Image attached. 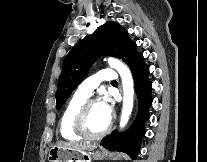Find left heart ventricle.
I'll return each instance as SVG.
<instances>
[{"mask_svg":"<svg viewBox=\"0 0 207 162\" xmlns=\"http://www.w3.org/2000/svg\"><path fill=\"white\" fill-rule=\"evenodd\" d=\"M110 118L105 113L100 103L94 104L86 115V129L89 133L97 134L106 128Z\"/></svg>","mask_w":207,"mask_h":162,"instance_id":"b2bd125f","label":"left heart ventricle"}]
</instances>
